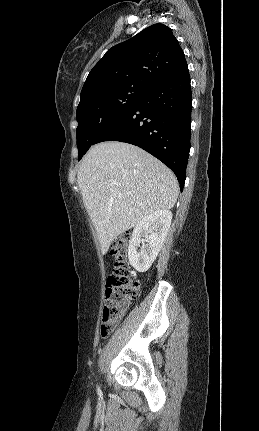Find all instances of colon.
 <instances>
[{
  "label": "colon",
  "instance_id": "1",
  "mask_svg": "<svg viewBox=\"0 0 259 431\" xmlns=\"http://www.w3.org/2000/svg\"><path fill=\"white\" fill-rule=\"evenodd\" d=\"M130 236H119L111 246L114 268L107 278L105 303L101 319V335H109L126 311L128 304L139 295L140 283L130 277L127 249Z\"/></svg>",
  "mask_w": 259,
  "mask_h": 431
}]
</instances>
